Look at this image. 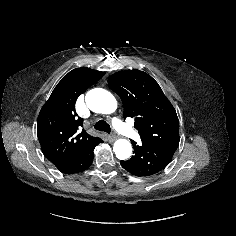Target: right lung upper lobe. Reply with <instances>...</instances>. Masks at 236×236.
<instances>
[{"instance_id":"obj_1","label":"right lung upper lobe","mask_w":236,"mask_h":236,"mask_svg":"<svg viewBox=\"0 0 236 236\" xmlns=\"http://www.w3.org/2000/svg\"><path fill=\"white\" fill-rule=\"evenodd\" d=\"M87 67L65 75L42 107L37 121V135L44 155L52 163L77 154L101 141L86 133L83 119L75 112L79 95L104 76Z\"/></svg>"}]
</instances>
